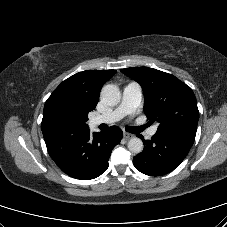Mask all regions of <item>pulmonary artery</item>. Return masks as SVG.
<instances>
[{
    "label": "pulmonary artery",
    "instance_id": "1",
    "mask_svg": "<svg viewBox=\"0 0 227 227\" xmlns=\"http://www.w3.org/2000/svg\"><path fill=\"white\" fill-rule=\"evenodd\" d=\"M141 98V87L137 83L131 82L123 88L121 103L114 110L93 117L91 123L93 125H98L101 123L110 124L122 119L127 115H131L139 106ZM156 132L157 126H153L148 131V135L153 136Z\"/></svg>",
    "mask_w": 227,
    "mask_h": 227
}]
</instances>
